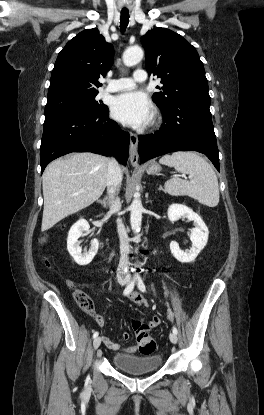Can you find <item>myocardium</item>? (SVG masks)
<instances>
[{"instance_id":"f54148a6","label":"myocardium","mask_w":264,"mask_h":415,"mask_svg":"<svg viewBox=\"0 0 264 415\" xmlns=\"http://www.w3.org/2000/svg\"><path fill=\"white\" fill-rule=\"evenodd\" d=\"M159 117L156 115L153 119V125L157 124Z\"/></svg>"}]
</instances>
